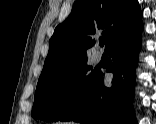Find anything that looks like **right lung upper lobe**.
Masks as SVG:
<instances>
[{"mask_svg": "<svg viewBox=\"0 0 156 124\" xmlns=\"http://www.w3.org/2000/svg\"><path fill=\"white\" fill-rule=\"evenodd\" d=\"M141 26L137 0H78L49 41V53L39 79L87 62L95 34L105 38L107 51L123 34Z\"/></svg>", "mask_w": 156, "mask_h": 124, "instance_id": "cb5924a9", "label": "right lung upper lobe"}]
</instances>
